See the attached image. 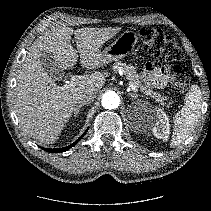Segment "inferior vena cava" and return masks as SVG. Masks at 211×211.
<instances>
[{
	"instance_id": "obj_1",
	"label": "inferior vena cava",
	"mask_w": 211,
	"mask_h": 211,
	"mask_svg": "<svg viewBox=\"0 0 211 211\" xmlns=\"http://www.w3.org/2000/svg\"><path fill=\"white\" fill-rule=\"evenodd\" d=\"M95 98V93L91 90H84L77 95V102L79 104H88Z\"/></svg>"
}]
</instances>
